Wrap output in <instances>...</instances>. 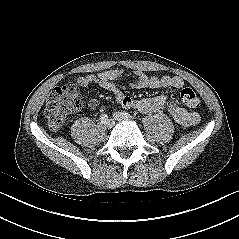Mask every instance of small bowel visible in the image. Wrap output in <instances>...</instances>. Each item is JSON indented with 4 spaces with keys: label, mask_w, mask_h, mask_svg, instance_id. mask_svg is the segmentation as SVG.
Instances as JSON below:
<instances>
[{
    "label": "small bowel",
    "mask_w": 239,
    "mask_h": 239,
    "mask_svg": "<svg viewBox=\"0 0 239 239\" xmlns=\"http://www.w3.org/2000/svg\"><path fill=\"white\" fill-rule=\"evenodd\" d=\"M123 76V72L117 68L104 70L98 74H89L79 76L75 82L80 87H86L90 84H97L100 87L111 92L116 102L124 108H135L142 113L157 112L166 108L169 115L180 125L189 127L196 125L200 121V116L197 112L187 111L179 106L175 101L169 100L166 95H158L152 98L135 100L123 93L115 85V81ZM133 88H149V89H181L184 86V80L180 76H148L144 72L138 71L135 73V79L131 82ZM88 109L96 110L99 107L97 99L88 101Z\"/></svg>",
    "instance_id": "c3829d8e"
}]
</instances>
